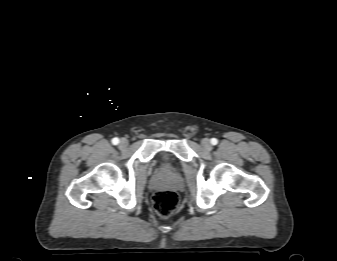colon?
Wrapping results in <instances>:
<instances>
[{
    "instance_id": "5ec220e1",
    "label": "colon",
    "mask_w": 337,
    "mask_h": 261,
    "mask_svg": "<svg viewBox=\"0 0 337 261\" xmlns=\"http://www.w3.org/2000/svg\"><path fill=\"white\" fill-rule=\"evenodd\" d=\"M152 204L159 216L168 217L177 209L179 196L172 190H160L154 194Z\"/></svg>"
}]
</instances>
